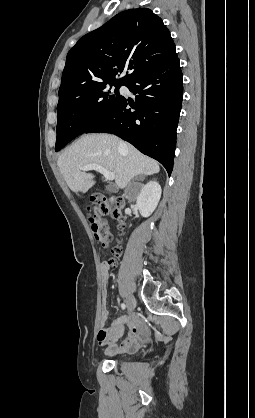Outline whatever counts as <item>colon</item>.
Returning a JSON list of instances; mask_svg holds the SVG:
<instances>
[{"mask_svg": "<svg viewBox=\"0 0 255 418\" xmlns=\"http://www.w3.org/2000/svg\"><path fill=\"white\" fill-rule=\"evenodd\" d=\"M94 206L90 209V222L95 239L105 249L110 248L113 258L110 259L111 266L116 265V259L121 255L122 250L119 246L111 247L113 234L109 225L103 219V216L113 212L115 216H120V210L125 202L122 198H116L113 202H108L105 198L94 197Z\"/></svg>", "mask_w": 255, "mask_h": 418, "instance_id": "5ec220e1", "label": "colon"}]
</instances>
